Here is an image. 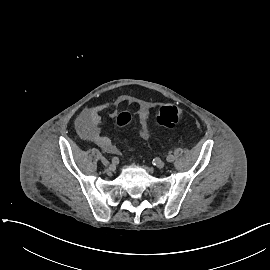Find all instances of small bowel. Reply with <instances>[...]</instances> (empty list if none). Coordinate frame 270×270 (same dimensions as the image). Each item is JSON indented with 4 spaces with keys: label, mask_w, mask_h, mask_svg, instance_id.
I'll list each match as a JSON object with an SVG mask.
<instances>
[{
    "label": "small bowel",
    "mask_w": 270,
    "mask_h": 270,
    "mask_svg": "<svg viewBox=\"0 0 270 270\" xmlns=\"http://www.w3.org/2000/svg\"><path fill=\"white\" fill-rule=\"evenodd\" d=\"M131 101L121 96L116 100V106L125 107L128 106ZM108 111L110 118L116 116V110L111 109V105L108 102H102L93 105L85 109L77 120V129L82 139L90 141L98 145L106 152L112 153L115 151V145L111 139L102 133L101 125V113ZM138 119L140 126V136L146 138L149 135V105L142 103L138 109Z\"/></svg>",
    "instance_id": "c3829d8e"
}]
</instances>
